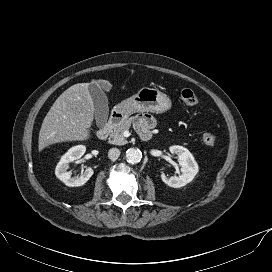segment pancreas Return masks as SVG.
Segmentation results:
<instances>
[{
  "label": "pancreas",
  "instance_id": "cf45deb5",
  "mask_svg": "<svg viewBox=\"0 0 272 272\" xmlns=\"http://www.w3.org/2000/svg\"><path fill=\"white\" fill-rule=\"evenodd\" d=\"M137 117H130L123 121L122 123L118 124L110 133L109 142L114 145H125L128 143L126 138L123 135V132L129 130L131 124L135 122Z\"/></svg>",
  "mask_w": 272,
  "mask_h": 272
}]
</instances>
